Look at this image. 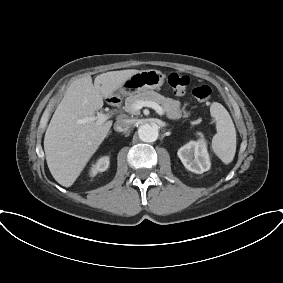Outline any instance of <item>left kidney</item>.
Masks as SVG:
<instances>
[{
  "label": "left kidney",
  "instance_id": "obj_1",
  "mask_svg": "<svg viewBox=\"0 0 283 283\" xmlns=\"http://www.w3.org/2000/svg\"><path fill=\"white\" fill-rule=\"evenodd\" d=\"M178 157L189 171L202 174L210 169L207 145L203 139L190 141L178 150Z\"/></svg>",
  "mask_w": 283,
  "mask_h": 283
}]
</instances>
